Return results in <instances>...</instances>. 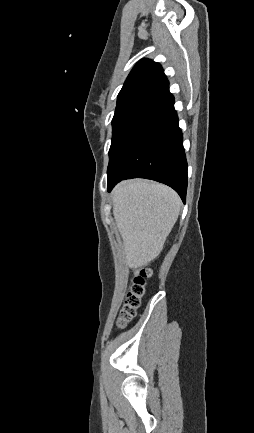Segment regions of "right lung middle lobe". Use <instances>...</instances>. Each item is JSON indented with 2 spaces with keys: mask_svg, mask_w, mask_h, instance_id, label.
I'll return each instance as SVG.
<instances>
[{
  "mask_svg": "<svg viewBox=\"0 0 254 433\" xmlns=\"http://www.w3.org/2000/svg\"><path fill=\"white\" fill-rule=\"evenodd\" d=\"M141 106L142 104L139 103L117 105L112 120L113 136H112V142L109 150V156L116 149L125 124L129 120V118L133 115V113L136 112Z\"/></svg>",
  "mask_w": 254,
  "mask_h": 433,
  "instance_id": "obj_1",
  "label": "right lung middle lobe"
}]
</instances>
